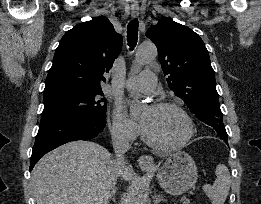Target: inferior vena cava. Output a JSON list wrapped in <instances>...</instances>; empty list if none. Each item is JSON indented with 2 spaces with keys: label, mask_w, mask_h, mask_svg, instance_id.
Listing matches in <instances>:
<instances>
[{
  "label": "inferior vena cava",
  "mask_w": 261,
  "mask_h": 204,
  "mask_svg": "<svg viewBox=\"0 0 261 204\" xmlns=\"http://www.w3.org/2000/svg\"><path fill=\"white\" fill-rule=\"evenodd\" d=\"M112 144L115 152V159L113 160L112 167V187L114 188L117 178L120 173V169L126 164L125 153L129 150V138L125 131L123 130H113L111 132Z\"/></svg>",
  "instance_id": "1"
}]
</instances>
